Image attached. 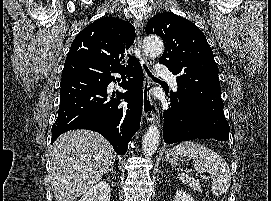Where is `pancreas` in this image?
<instances>
[{
	"label": "pancreas",
	"instance_id": "pancreas-1",
	"mask_svg": "<svg viewBox=\"0 0 271 201\" xmlns=\"http://www.w3.org/2000/svg\"><path fill=\"white\" fill-rule=\"evenodd\" d=\"M193 189H194L195 191H198V192H201V191H202L199 182H196V183L194 184Z\"/></svg>",
	"mask_w": 271,
	"mask_h": 201
}]
</instances>
